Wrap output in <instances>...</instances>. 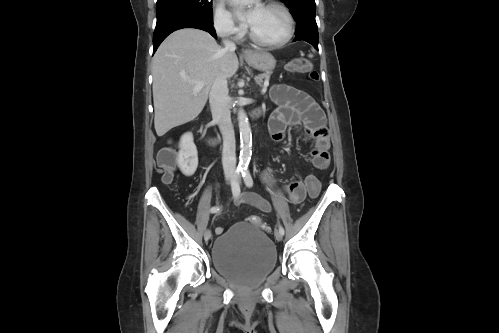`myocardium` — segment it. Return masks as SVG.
Instances as JSON below:
<instances>
[{"label":"myocardium","instance_id":"obj_1","mask_svg":"<svg viewBox=\"0 0 499 333\" xmlns=\"http://www.w3.org/2000/svg\"><path fill=\"white\" fill-rule=\"evenodd\" d=\"M264 6L278 8L285 14L286 19H287V23H288L286 35L282 39L277 40V41H266V40L259 38L254 33V31L251 29V27H249L248 28V36L250 37V39L254 43H256L260 46H264V47H280V46L285 45L286 43H288L292 39L293 34H294L295 22H294V18H293L291 11L283 3L278 2V1H273V0L266 2L264 4Z\"/></svg>","mask_w":499,"mask_h":333}]
</instances>
